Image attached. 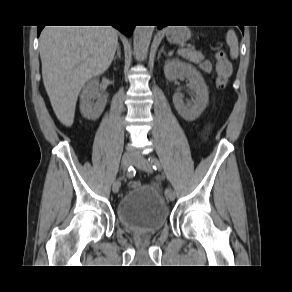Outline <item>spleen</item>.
Segmentation results:
<instances>
[{
	"label": "spleen",
	"instance_id": "3e777b00",
	"mask_svg": "<svg viewBox=\"0 0 292 292\" xmlns=\"http://www.w3.org/2000/svg\"><path fill=\"white\" fill-rule=\"evenodd\" d=\"M226 42L230 47V56L233 59L238 57V39L233 30H229L226 37Z\"/></svg>",
	"mask_w": 292,
	"mask_h": 292
}]
</instances>
